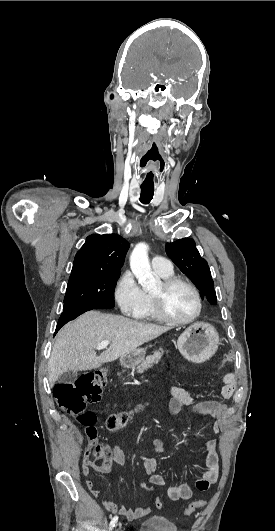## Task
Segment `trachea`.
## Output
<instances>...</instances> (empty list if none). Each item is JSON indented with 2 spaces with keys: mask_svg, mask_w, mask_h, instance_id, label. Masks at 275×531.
<instances>
[{
  "mask_svg": "<svg viewBox=\"0 0 275 531\" xmlns=\"http://www.w3.org/2000/svg\"><path fill=\"white\" fill-rule=\"evenodd\" d=\"M154 195V187L141 186L140 201L143 204H149Z\"/></svg>",
  "mask_w": 275,
  "mask_h": 531,
  "instance_id": "1",
  "label": "trachea"
}]
</instances>
